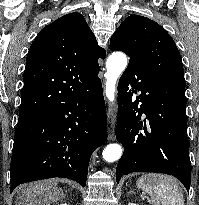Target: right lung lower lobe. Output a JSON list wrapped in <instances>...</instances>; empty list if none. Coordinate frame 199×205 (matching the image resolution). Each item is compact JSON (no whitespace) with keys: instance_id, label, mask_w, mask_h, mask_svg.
Listing matches in <instances>:
<instances>
[{"instance_id":"right-lung-lower-lobe-1","label":"right lung lower lobe","mask_w":199,"mask_h":205,"mask_svg":"<svg viewBox=\"0 0 199 205\" xmlns=\"http://www.w3.org/2000/svg\"><path fill=\"white\" fill-rule=\"evenodd\" d=\"M107 137L101 80L18 123L12 150L11 189L53 177L86 185L94 150Z\"/></svg>"}]
</instances>
